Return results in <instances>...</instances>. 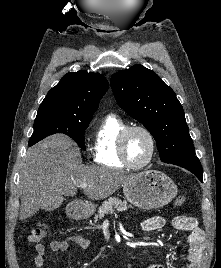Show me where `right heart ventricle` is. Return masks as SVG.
<instances>
[{
	"mask_svg": "<svg viewBox=\"0 0 221 268\" xmlns=\"http://www.w3.org/2000/svg\"><path fill=\"white\" fill-rule=\"evenodd\" d=\"M125 127L124 121L115 115H110L104 120L94 146L96 163L116 169L126 167L118 154V137Z\"/></svg>",
	"mask_w": 221,
	"mask_h": 268,
	"instance_id": "obj_1",
	"label": "right heart ventricle"
}]
</instances>
